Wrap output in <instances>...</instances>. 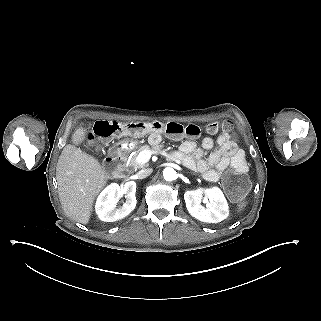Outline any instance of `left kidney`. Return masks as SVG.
Returning a JSON list of instances; mask_svg holds the SVG:
<instances>
[{
  "mask_svg": "<svg viewBox=\"0 0 321 321\" xmlns=\"http://www.w3.org/2000/svg\"><path fill=\"white\" fill-rule=\"evenodd\" d=\"M203 193L209 199L206 208L201 205ZM184 200L190 215L202 222L218 223L229 215L227 200L218 187L186 191Z\"/></svg>",
  "mask_w": 321,
  "mask_h": 321,
  "instance_id": "5707ae66",
  "label": "left kidney"
}]
</instances>
